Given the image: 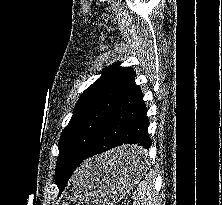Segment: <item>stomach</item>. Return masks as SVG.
Masks as SVG:
<instances>
[{
	"label": "stomach",
	"mask_w": 222,
	"mask_h": 205,
	"mask_svg": "<svg viewBox=\"0 0 222 205\" xmlns=\"http://www.w3.org/2000/svg\"><path fill=\"white\" fill-rule=\"evenodd\" d=\"M123 146L86 161L75 173L65 192L63 205H114L124 198L148 170L145 159L139 164L122 165L116 158L127 151Z\"/></svg>",
	"instance_id": "obj_1"
}]
</instances>
